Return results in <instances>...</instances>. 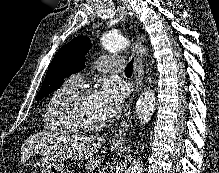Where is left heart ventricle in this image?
Returning a JSON list of instances; mask_svg holds the SVG:
<instances>
[{"instance_id": "b2bd125f", "label": "left heart ventricle", "mask_w": 219, "mask_h": 173, "mask_svg": "<svg viewBox=\"0 0 219 173\" xmlns=\"http://www.w3.org/2000/svg\"><path fill=\"white\" fill-rule=\"evenodd\" d=\"M78 112L80 117L89 124H98L106 119L99 108L95 94L83 99L79 105Z\"/></svg>"}]
</instances>
